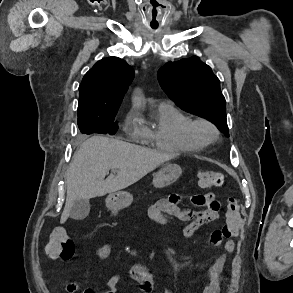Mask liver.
<instances>
[{"instance_id": "1", "label": "liver", "mask_w": 293, "mask_h": 293, "mask_svg": "<svg viewBox=\"0 0 293 293\" xmlns=\"http://www.w3.org/2000/svg\"><path fill=\"white\" fill-rule=\"evenodd\" d=\"M175 156L114 138L87 139L76 150L67 171V196L60 223L69 218L76 200L118 192ZM109 170H115L116 174L105 179Z\"/></svg>"}]
</instances>
